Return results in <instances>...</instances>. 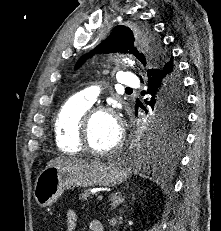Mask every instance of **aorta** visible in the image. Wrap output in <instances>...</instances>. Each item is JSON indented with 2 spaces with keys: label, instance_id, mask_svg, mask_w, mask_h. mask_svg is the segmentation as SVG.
Instances as JSON below:
<instances>
[{
  "label": "aorta",
  "instance_id": "1",
  "mask_svg": "<svg viewBox=\"0 0 221 231\" xmlns=\"http://www.w3.org/2000/svg\"><path fill=\"white\" fill-rule=\"evenodd\" d=\"M124 61H125L126 63L128 62V64H130L131 66H133V65L135 64L134 61H132V60H130V59H128V58L124 59Z\"/></svg>",
  "mask_w": 221,
  "mask_h": 231
}]
</instances>
